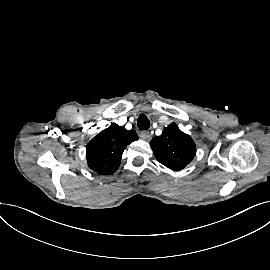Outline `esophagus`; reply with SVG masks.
<instances>
[{
	"label": "esophagus",
	"mask_w": 270,
	"mask_h": 270,
	"mask_svg": "<svg viewBox=\"0 0 270 270\" xmlns=\"http://www.w3.org/2000/svg\"><path fill=\"white\" fill-rule=\"evenodd\" d=\"M139 136L143 140H150V138H151V134L148 131H142V132H140Z\"/></svg>",
	"instance_id": "esophagus-1"
}]
</instances>
